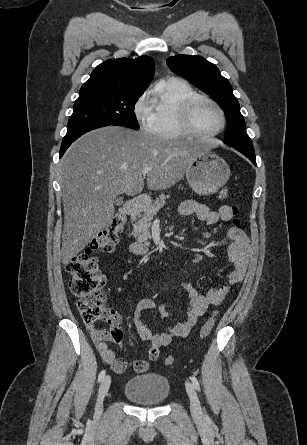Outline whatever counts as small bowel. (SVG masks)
<instances>
[{
  "instance_id": "small-bowel-1",
  "label": "small bowel",
  "mask_w": 307,
  "mask_h": 445,
  "mask_svg": "<svg viewBox=\"0 0 307 445\" xmlns=\"http://www.w3.org/2000/svg\"><path fill=\"white\" fill-rule=\"evenodd\" d=\"M179 212L183 216H195L198 220L204 221L208 225H214L219 221H229L236 215V212L229 205H223L218 211H212L205 205L193 200L184 201L180 205ZM228 237L231 243L228 246L227 255L229 261L234 266V269L228 275V282L219 288H211L206 293H201L191 283L184 282L182 287L186 293L185 305L187 312L183 321L169 326L162 333H154L144 325L142 315L144 312L156 307L155 301L151 298H144L136 304L133 313V323L140 339L149 342L148 358L150 361L157 360L160 349L168 345L174 338L187 337L207 309L211 306L220 305L230 292L231 287L243 280L251 253L249 239L243 230L235 226L229 229ZM158 310L162 318L170 317L168 304H161ZM90 333L103 361L110 365L114 372L123 373L127 368V361L123 358H118L105 343L108 340L109 331L98 330L90 326ZM148 366L147 360H136L133 363L134 370L138 373L147 371Z\"/></svg>"
}]
</instances>
